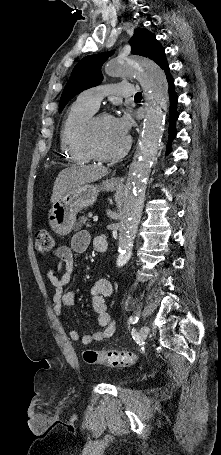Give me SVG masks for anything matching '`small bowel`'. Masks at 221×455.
Returning <instances> with one entry per match:
<instances>
[{
  "mask_svg": "<svg viewBox=\"0 0 221 455\" xmlns=\"http://www.w3.org/2000/svg\"><path fill=\"white\" fill-rule=\"evenodd\" d=\"M97 238V237H96ZM93 245L95 244V239ZM90 235L86 231H78L72 237L70 246H58L54 252L58 259L56 271L49 268L47 278L53 290V311L60 317L64 306H72L75 302V293L65 289L69 283L74 267V255L84 252L90 244ZM95 246V245H94ZM113 293L112 283L107 279H98L94 282L92 294L93 310L98 315L100 330L85 334L80 338L75 329L69 330V337L72 341H81L82 345L88 346L93 342L102 341L110 338L116 329L115 322L108 312L107 298Z\"/></svg>",
  "mask_w": 221,
  "mask_h": 455,
  "instance_id": "small-bowel-1",
  "label": "small bowel"
}]
</instances>
